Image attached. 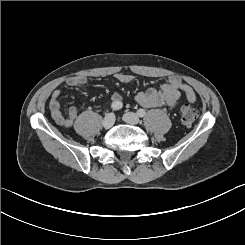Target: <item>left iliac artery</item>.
<instances>
[{
  "instance_id": "obj_1",
  "label": "left iliac artery",
  "mask_w": 245,
  "mask_h": 245,
  "mask_svg": "<svg viewBox=\"0 0 245 245\" xmlns=\"http://www.w3.org/2000/svg\"><path fill=\"white\" fill-rule=\"evenodd\" d=\"M137 114H138V116H140V117H144L145 114H146V112H145L144 109L140 108V109L137 110Z\"/></svg>"
}]
</instances>
